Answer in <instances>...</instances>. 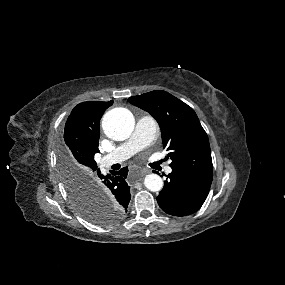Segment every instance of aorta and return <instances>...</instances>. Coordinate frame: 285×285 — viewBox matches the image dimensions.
Listing matches in <instances>:
<instances>
[{"instance_id": "obj_1", "label": "aorta", "mask_w": 285, "mask_h": 285, "mask_svg": "<svg viewBox=\"0 0 285 285\" xmlns=\"http://www.w3.org/2000/svg\"><path fill=\"white\" fill-rule=\"evenodd\" d=\"M102 128L109 138L118 141L125 140L134 128L133 115L126 108H114L104 115ZM144 185L148 190L158 192L163 188V180L157 174H149L144 178Z\"/></svg>"}]
</instances>
